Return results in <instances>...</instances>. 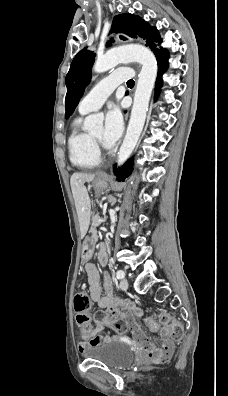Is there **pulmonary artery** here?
Segmentation results:
<instances>
[{
  "mask_svg": "<svg viewBox=\"0 0 228 396\" xmlns=\"http://www.w3.org/2000/svg\"><path fill=\"white\" fill-rule=\"evenodd\" d=\"M133 75V70L130 68H119L100 80L81 100L79 112L86 114L99 109L114 89L120 83L132 78Z\"/></svg>",
  "mask_w": 228,
  "mask_h": 396,
  "instance_id": "obj_1",
  "label": "pulmonary artery"
}]
</instances>
